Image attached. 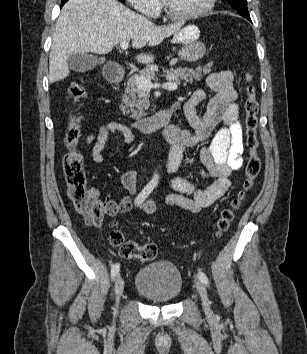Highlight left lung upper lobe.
<instances>
[{
  "label": "left lung upper lobe",
  "mask_w": 307,
  "mask_h": 354,
  "mask_svg": "<svg viewBox=\"0 0 307 354\" xmlns=\"http://www.w3.org/2000/svg\"><path fill=\"white\" fill-rule=\"evenodd\" d=\"M229 4L243 17L250 19L246 0H228Z\"/></svg>",
  "instance_id": "5c2ea615"
}]
</instances>
